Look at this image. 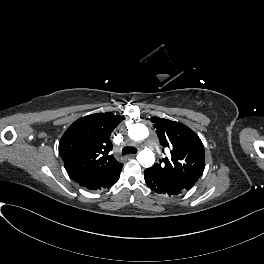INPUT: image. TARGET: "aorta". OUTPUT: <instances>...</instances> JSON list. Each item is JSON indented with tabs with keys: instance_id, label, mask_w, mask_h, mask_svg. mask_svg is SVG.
<instances>
[{
	"instance_id": "762f6f07",
	"label": "aorta",
	"mask_w": 264,
	"mask_h": 264,
	"mask_svg": "<svg viewBox=\"0 0 264 264\" xmlns=\"http://www.w3.org/2000/svg\"><path fill=\"white\" fill-rule=\"evenodd\" d=\"M149 135L148 129L145 125L143 124H133L129 128V136L137 141V142H142L144 141ZM155 161V157L153 154L149 151H142L139 154V162L142 166L144 167H149L151 166Z\"/></svg>"
}]
</instances>
